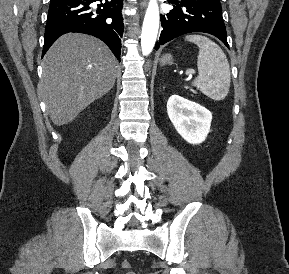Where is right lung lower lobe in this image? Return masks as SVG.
<instances>
[{"label": "right lung lower lobe", "instance_id": "right-lung-lower-lobe-1", "mask_svg": "<svg viewBox=\"0 0 289 274\" xmlns=\"http://www.w3.org/2000/svg\"><path fill=\"white\" fill-rule=\"evenodd\" d=\"M94 2L99 3L97 7ZM122 7L123 0H51L42 55L59 36L82 32L104 41L119 60L124 31Z\"/></svg>", "mask_w": 289, "mask_h": 274}]
</instances>
